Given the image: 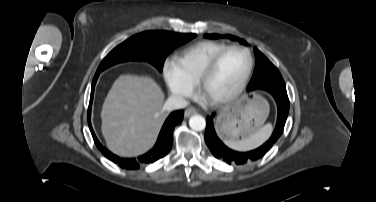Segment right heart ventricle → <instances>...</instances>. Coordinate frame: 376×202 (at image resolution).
<instances>
[{
	"label": "right heart ventricle",
	"instance_id": "right-heart-ventricle-1",
	"mask_svg": "<svg viewBox=\"0 0 376 202\" xmlns=\"http://www.w3.org/2000/svg\"><path fill=\"white\" fill-rule=\"evenodd\" d=\"M227 46L217 41H201L177 53L174 60L183 77L195 86L208 62Z\"/></svg>",
	"mask_w": 376,
	"mask_h": 202
}]
</instances>
